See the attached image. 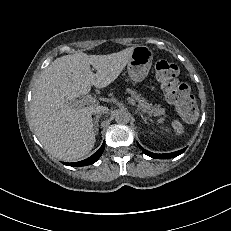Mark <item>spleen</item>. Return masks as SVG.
<instances>
[{
    "mask_svg": "<svg viewBox=\"0 0 231 231\" xmlns=\"http://www.w3.org/2000/svg\"><path fill=\"white\" fill-rule=\"evenodd\" d=\"M172 126L174 128V130L176 131L177 134H182L183 133V125L181 124V122L179 120H174L172 123Z\"/></svg>",
    "mask_w": 231,
    "mask_h": 231,
    "instance_id": "1",
    "label": "spleen"
}]
</instances>
